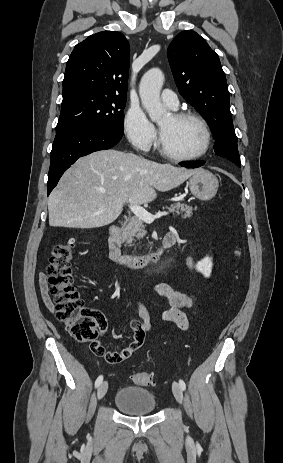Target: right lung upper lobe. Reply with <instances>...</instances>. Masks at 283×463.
<instances>
[{"mask_svg":"<svg viewBox=\"0 0 283 463\" xmlns=\"http://www.w3.org/2000/svg\"><path fill=\"white\" fill-rule=\"evenodd\" d=\"M130 47L120 32L104 31L77 44L66 64L63 102L94 93L126 97Z\"/></svg>","mask_w":283,"mask_h":463,"instance_id":"obj_1","label":"right lung upper lobe"}]
</instances>
